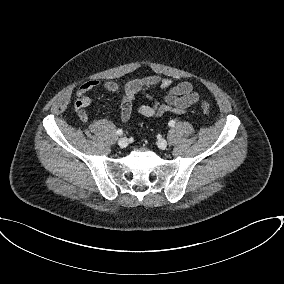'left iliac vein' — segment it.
<instances>
[{"mask_svg":"<svg viewBox=\"0 0 284 284\" xmlns=\"http://www.w3.org/2000/svg\"><path fill=\"white\" fill-rule=\"evenodd\" d=\"M157 145H158V147H159L160 149H163V150H164V149H166L168 143H167V141H166L165 139H160V140H158Z\"/></svg>","mask_w":284,"mask_h":284,"instance_id":"left-iliac-vein-1","label":"left iliac vein"}]
</instances>
